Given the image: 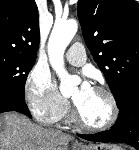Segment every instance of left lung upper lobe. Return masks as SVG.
<instances>
[{
	"label": "left lung upper lobe",
	"instance_id": "1",
	"mask_svg": "<svg viewBox=\"0 0 139 150\" xmlns=\"http://www.w3.org/2000/svg\"><path fill=\"white\" fill-rule=\"evenodd\" d=\"M77 14L85 42L119 105L139 83V4L78 0Z\"/></svg>",
	"mask_w": 139,
	"mask_h": 150
}]
</instances>
